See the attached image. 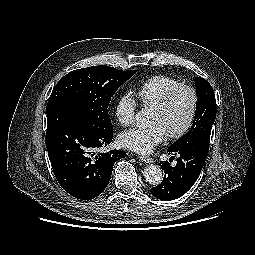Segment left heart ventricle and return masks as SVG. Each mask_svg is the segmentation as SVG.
I'll use <instances>...</instances> for the list:
<instances>
[{"label": "left heart ventricle", "instance_id": "obj_1", "mask_svg": "<svg viewBox=\"0 0 255 255\" xmlns=\"http://www.w3.org/2000/svg\"><path fill=\"white\" fill-rule=\"evenodd\" d=\"M192 107V97L187 91L175 95L164 112L152 110L150 124L160 125L165 133L178 131L186 122Z\"/></svg>", "mask_w": 255, "mask_h": 255}]
</instances>
